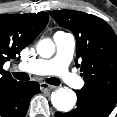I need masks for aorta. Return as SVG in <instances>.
<instances>
[{
    "label": "aorta",
    "instance_id": "762f6f07",
    "mask_svg": "<svg viewBox=\"0 0 117 117\" xmlns=\"http://www.w3.org/2000/svg\"><path fill=\"white\" fill-rule=\"evenodd\" d=\"M55 52V45L50 39H43L37 45V53L42 58H50ZM77 97L74 91L61 87L51 94V103L60 112H68L75 106Z\"/></svg>",
    "mask_w": 117,
    "mask_h": 117
}]
</instances>
